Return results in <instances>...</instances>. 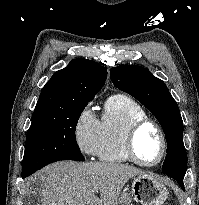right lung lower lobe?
Returning a JSON list of instances; mask_svg holds the SVG:
<instances>
[{"label":"right lung lower lobe","mask_w":199,"mask_h":205,"mask_svg":"<svg viewBox=\"0 0 199 205\" xmlns=\"http://www.w3.org/2000/svg\"><path fill=\"white\" fill-rule=\"evenodd\" d=\"M29 176V175H28ZM25 177H27V175H25V176H22V178H25Z\"/></svg>","instance_id":"98d812e1"}]
</instances>
